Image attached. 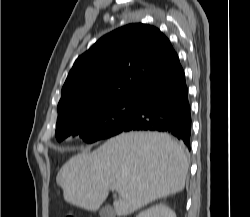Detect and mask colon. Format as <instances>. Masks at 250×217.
<instances>
[{"instance_id": "5ec220e1", "label": "colon", "mask_w": 250, "mask_h": 217, "mask_svg": "<svg viewBox=\"0 0 250 217\" xmlns=\"http://www.w3.org/2000/svg\"><path fill=\"white\" fill-rule=\"evenodd\" d=\"M65 217H75L73 214H67Z\"/></svg>"}]
</instances>
